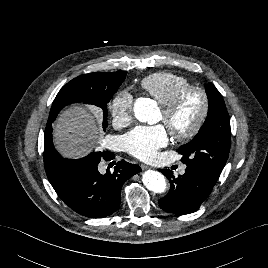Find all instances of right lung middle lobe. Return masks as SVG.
<instances>
[{"mask_svg":"<svg viewBox=\"0 0 268 268\" xmlns=\"http://www.w3.org/2000/svg\"><path fill=\"white\" fill-rule=\"evenodd\" d=\"M119 85L111 91V93L98 100H94L89 102V104L96 105L103 109L104 111V119H103V128L107 127V103L112 98L113 94L117 91ZM61 102L60 99L54 100L52 104V108H55L59 105ZM53 147V151L45 150L44 149V166L46 170L47 177L53 186L56 193L59 195L62 193L70 184V182L73 179L74 167L77 165V163L81 160H71V159H65L62 156H60L57 151L55 150L53 143L51 144ZM92 154V153H91ZM89 154V155H91ZM83 159V158H82Z\"/></svg>","mask_w":268,"mask_h":268,"instance_id":"obj_1","label":"right lung middle lobe"}]
</instances>
